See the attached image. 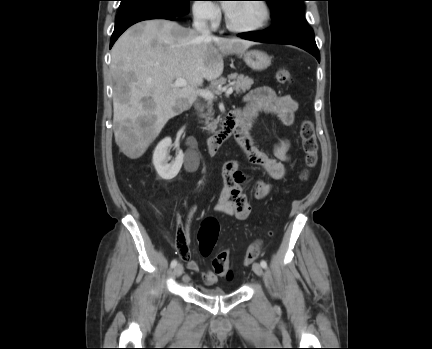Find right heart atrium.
Segmentation results:
<instances>
[{"label": "right heart atrium", "mask_w": 432, "mask_h": 349, "mask_svg": "<svg viewBox=\"0 0 432 349\" xmlns=\"http://www.w3.org/2000/svg\"><path fill=\"white\" fill-rule=\"evenodd\" d=\"M192 13L197 20L211 25L220 19V10L211 0H195L192 4Z\"/></svg>", "instance_id": "obj_1"}]
</instances>
